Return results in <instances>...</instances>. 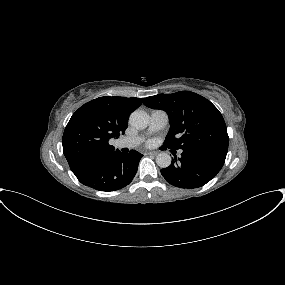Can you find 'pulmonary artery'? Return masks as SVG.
Returning a JSON list of instances; mask_svg holds the SVG:
<instances>
[{"label":"pulmonary artery","instance_id":"1","mask_svg":"<svg viewBox=\"0 0 285 285\" xmlns=\"http://www.w3.org/2000/svg\"><path fill=\"white\" fill-rule=\"evenodd\" d=\"M168 123V114L164 110H153L149 116V126L147 134H153L162 130ZM143 136H131L119 139L116 142L118 148H134L143 141Z\"/></svg>","mask_w":285,"mask_h":285}]
</instances>
